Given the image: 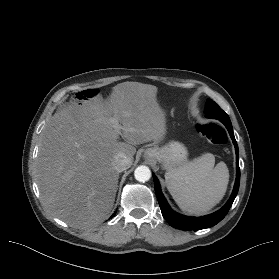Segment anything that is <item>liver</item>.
<instances>
[{"instance_id": "liver-1", "label": "liver", "mask_w": 279, "mask_h": 279, "mask_svg": "<svg viewBox=\"0 0 279 279\" xmlns=\"http://www.w3.org/2000/svg\"><path fill=\"white\" fill-rule=\"evenodd\" d=\"M156 94V86L124 82L113 87L107 101L96 96L51 117L42 132L36 180L44 206L55 217L77 229L97 226L107 217L119 179L115 155L124 153L133 161V145L165 135L166 114ZM120 134L126 142L117 140Z\"/></svg>"}]
</instances>
